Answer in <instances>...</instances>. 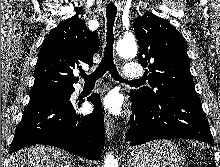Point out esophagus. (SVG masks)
Segmentation results:
<instances>
[{
	"label": "esophagus",
	"instance_id": "esophagus-1",
	"mask_svg": "<svg viewBox=\"0 0 220 167\" xmlns=\"http://www.w3.org/2000/svg\"><path fill=\"white\" fill-rule=\"evenodd\" d=\"M105 134L108 140H111L115 134L114 120L108 112L104 114Z\"/></svg>",
	"mask_w": 220,
	"mask_h": 167
}]
</instances>
